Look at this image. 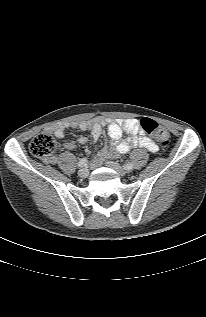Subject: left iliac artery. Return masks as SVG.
<instances>
[{"instance_id": "left-iliac-artery-1", "label": "left iliac artery", "mask_w": 206, "mask_h": 317, "mask_svg": "<svg viewBox=\"0 0 206 317\" xmlns=\"http://www.w3.org/2000/svg\"><path fill=\"white\" fill-rule=\"evenodd\" d=\"M124 169L127 170V171H131L133 169V164L128 162L126 164H124Z\"/></svg>"}]
</instances>
